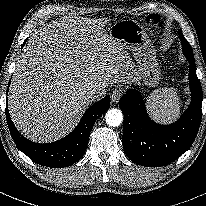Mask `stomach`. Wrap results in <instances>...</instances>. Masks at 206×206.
<instances>
[{
    "mask_svg": "<svg viewBox=\"0 0 206 206\" xmlns=\"http://www.w3.org/2000/svg\"><path fill=\"white\" fill-rule=\"evenodd\" d=\"M109 35L129 50L136 63L139 86L155 87L160 80L156 50L143 26L132 19L119 20L108 29Z\"/></svg>",
    "mask_w": 206,
    "mask_h": 206,
    "instance_id": "0dacf381",
    "label": "stomach"
}]
</instances>
